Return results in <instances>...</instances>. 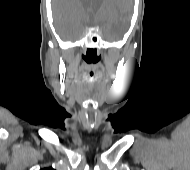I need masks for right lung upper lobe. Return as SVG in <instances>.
<instances>
[{"mask_svg":"<svg viewBox=\"0 0 190 170\" xmlns=\"http://www.w3.org/2000/svg\"><path fill=\"white\" fill-rule=\"evenodd\" d=\"M41 170H54L53 168H43Z\"/></svg>","mask_w":190,"mask_h":170,"instance_id":"obj_1","label":"right lung upper lobe"}]
</instances>
